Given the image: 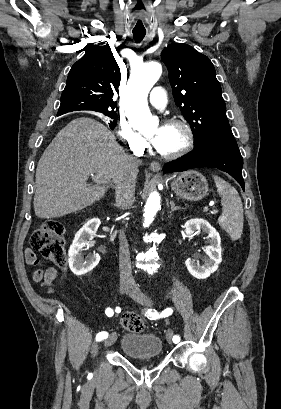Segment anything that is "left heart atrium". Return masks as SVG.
I'll use <instances>...</instances> for the list:
<instances>
[{
	"label": "left heart atrium",
	"instance_id": "39dd6f15",
	"mask_svg": "<svg viewBox=\"0 0 281 409\" xmlns=\"http://www.w3.org/2000/svg\"><path fill=\"white\" fill-rule=\"evenodd\" d=\"M161 131L162 128H160L153 136L151 139H149V141L151 142V144L154 147H157L159 145L160 139H161Z\"/></svg>",
	"mask_w": 281,
	"mask_h": 409
}]
</instances>
